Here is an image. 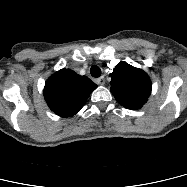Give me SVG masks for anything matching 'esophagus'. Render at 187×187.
<instances>
[{
	"instance_id": "esophagus-1",
	"label": "esophagus",
	"mask_w": 187,
	"mask_h": 187,
	"mask_svg": "<svg viewBox=\"0 0 187 187\" xmlns=\"http://www.w3.org/2000/svg\"><path fill=\"white\" fill-rule=\"evenodd\" d=\"M96 83H97L98 85H104V84H105V79H104V77H100V78L96 79Z\"/></svg>"
}]
</instances>
